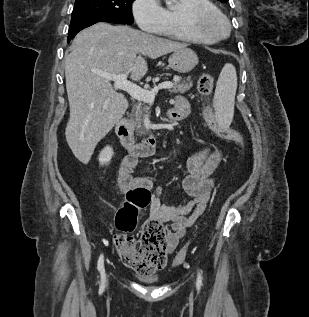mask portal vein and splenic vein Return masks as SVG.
<instances>
[{
  "instance_id": "1",
  "label": "portal vein and splenic vein",
  "mask_w": 309,
  "mask_h": 317,
  "mask_svg": "<svg viewBox=\"0 0 309 317\" xmlns=\"http://www.w3.org/2000/svg\"><path fill=\"white\" fill-rule=\"evenodd\" d=\"M95 72L99 76L107 80L113 81L115 88L124 90L127 93H129L134 99L138 101H143L149 104L154 103L155 95L158 93L159 90L173 88V83L166 81L155 86L152 90H146L128 81L126 74H110V73H105L102 71H95Z\"/></svg>"
}]
</instances>
